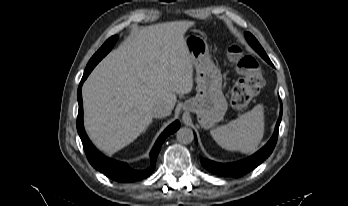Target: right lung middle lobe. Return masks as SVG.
Masks as SVG:
<instances>
[{
	"label": "right lung middle lobe",
	"instance_id": "right-lung-middle-lobe-1",
	"mask_svg": "<svg viewBox=\"0 0 348 206\" xmlns=\"http://www.w3.org/2000/svg\"><path fill=\"white\" fill-rule=\"evenodd\" d=\"M116 40H117V36H112L103 44V46L96 53H103L104 55H106L113 47Z\"/></svg>",
	"mask_w": 348,
	"mask_h": 206
}]
</instances>
